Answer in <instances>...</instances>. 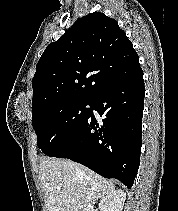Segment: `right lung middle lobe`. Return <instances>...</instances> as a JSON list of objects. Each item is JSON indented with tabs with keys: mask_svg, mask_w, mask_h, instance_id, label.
Wrapping results in <instances>:
<instances>
[{
	"mask_svg": "<svg viewBox=\"0 0 178 211\" xmlns=\"http://www.w3.org/2000/svg\"><path fill=\"white\" fill-rule=\"evenodd\" d=\"M91 104L92 99L64 100L36 112L32 125L37 134L38 148L47 155L76 132L91 113Z\"/></svg>",
	"mask_w": 178,
	"mask_h": 211,
	"instance_id": "obj_1",
	"label": "right lung middle lobe"
}]
</instances>
